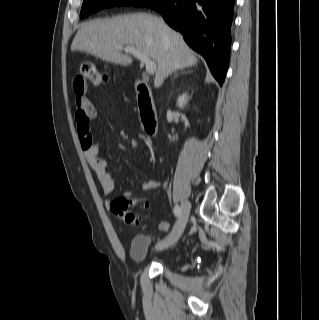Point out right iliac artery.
Masks as SVG:
<instances>
[{
    "instance_id": "right-iliac-artery-1",
    "label": "right iliac artery",
    "mask_w": 319,
    "mask_h": 320,
    "mask_svg": "<svg viewBox=\"0 0 319 320\" xmlns=\"http://www.w3.org/2000/svg\"><path fill=\"white\" fill-rule=\"evenodd\" d=\"M173 213H174V215H175L176 217H180V215H181V208H180L178 205H176V206L173 208Z\"/></svg>"
}]
</instances>
